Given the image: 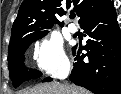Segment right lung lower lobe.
I'll use <instances>...</instances> for the list:
<instances>
[{"mask_svg":"<svg viewBox=\"0 0 121 94\" xmlns=\"http://www.w3.org/2000/svg\"><path fill=\"white\" fill-rule=\"evenodd\" d=\"M80 25L89 36L84 47L87 54H77L70 80L96 94H121V36L113 1ZM86 56L88 61H84ZM51 80L48 77L43 82Z\"/></svg>","mask_w":121,"mask_h":94,"instance_id":"1","label":"right lung lower lobe"}]
</instances>
